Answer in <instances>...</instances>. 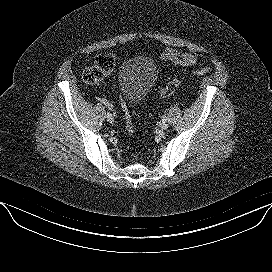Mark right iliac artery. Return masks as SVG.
<instances>
[{"mask_svg": "<svg viewBox=\"0 0 272 272\" xmlns=\"http://www.w3.org/2000/svg\"><path fill=\"white\" fill-rule=\"evenodd\" d=\"M105 116H106V117H111V116H112V113L109 112V111H106V112H105Z\"/></svg>", "mask_w": 272, "mask_h": 272, "instance_id": "obj_1", "label": "right iliac artery"}]
</instances>
